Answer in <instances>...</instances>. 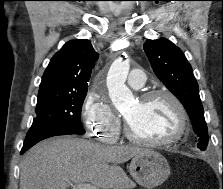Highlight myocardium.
Returning a JSON list of instances; mask_svg holds the SVG:
<instances>
[{"instance_id": "f54148a6", "label": "myocardium", "mask_w": 223, "mask_h": 189, "mask_svg": "<svg viewBox=\"0 0 223 189\" xmlns=\"http://www.w3.org/2000/svg\"><path fill=\"white\" fill-rule=\"evenodd\" d=\"M158 97L168 98L175 106L179 115V127L177 132L168 138L151 139L142 137L134 133L129 121L125 118V134L131 141L152 146L171 145L181 140L187 134L189 128V115L182 101L174 93L163 89L150 90L142 93L138 100L140 102H147Z\"/></svg>"}]
</instances>
